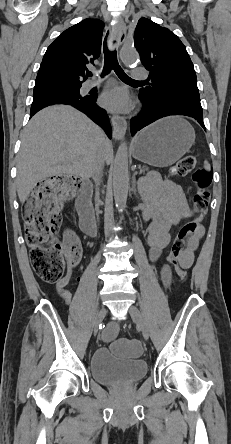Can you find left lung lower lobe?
I'll return each instance as SVG.
<instances>
[{"instance_id":"0a47b994","label":"left lung lower lobe","mask_w":231,"mask_h":444,"mask_svg":"<svg viewBox=\"0 0 231 444\" xmlns=\"http://www.w3.org/2000/svg\"><path fill=\"white\" fill-rule=\"evenodd\" d=\"M140 99L144 103V107L140 115L131 120L130 128L132 135L150 123L169 115H185L193 117L205 129L203 124V110L199 102L170 100L161 103L151 98H147L142 93H140Z\"/></svg>"}]
</instances>
